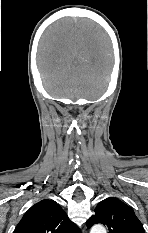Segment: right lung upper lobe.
Segmentation results:
<instances>
[{
    "label": "right lung upper lobe",
    "mask_w": 148,
    "mask_h": 233,
    "mask_svg": "<svg viewBox=\"0 0 148 233\" xmlns=\"http://www.w3.org/2000/svg\"><path fill=\"white\" fill-rule=\"evenodd\" d=\"M13 233H79V228L59 204L44 199L25 213Z\"/></svg>",
    "instance_id": "obj_1"
}]
</instances>
